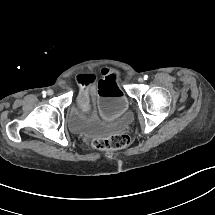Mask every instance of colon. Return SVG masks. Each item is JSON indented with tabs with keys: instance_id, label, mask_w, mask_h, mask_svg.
Segmentation results:
<instances>
[{
	"instance_id": "colon-1",
	"label": "colon",
	"mask_w": 215,
	"mask_h": 215,
	"mask_svg": "<svg viewBox=\"0 0 215 215\" xmlns=\"http://www.w3.org/2000/svg\"><path fill=\"white\" fill-rule=\"evenodd\" d=\"M129 138L126 134L117 133L106 137H96L92 145L98 150H116L128 146Z\"/></svg>"
}]
</instances>
